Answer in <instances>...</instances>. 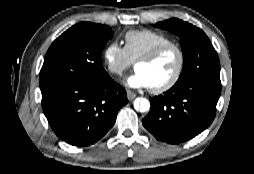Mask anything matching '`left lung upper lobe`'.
Masks as SVG:
<instances>
[{"label": "left lung upper lobe", "mask_w": 254, "mask_h": 174, "mask_svg": "<svg viewBox=\"0 0 254 174\" xmlns=\"http://www.w3.org/2000/svg\"><path fill=\"white\" fill-rule=\"evenodd\" d=\"M180 37L184 65L174 86H182L203 79L220 80V63L209 38L199 28L179 19H169L156 24Z\"/></svg>", "instance_id": "left-lung-upper-lobe-1"}]
</instances>
